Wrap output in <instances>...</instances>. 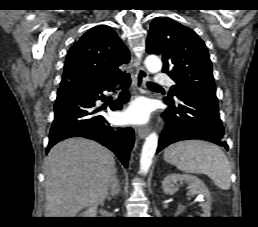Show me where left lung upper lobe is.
<instances>
[{
  "label": "left lung upper lobe",
  "instance_id": "5c2ea615",
  "mask_svg": "<svg viewBox=\"0 0 258 227\" xmlns=\"http://www.w3.org/2000/svg\"><path fill=\"white\" fill-rule=\"evenodd\" d=\"M149 54L162 55L163 72L174 81L166 99L181 91L203 90L216 93L208 50L191 29L168 18H155L146 43Z\"/></svg>",
  "mask_w": 258,
  "mask_h": 227
}]
</instances>
